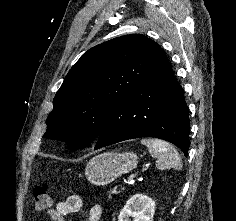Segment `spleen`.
<instances>
[{"instance_id": "1", "label": "spleen", "mask_w": 236, "mask_h": 221, "mask_svg": "<svg viewBox=\"0 0 236 221\" xmlns=\"http://www.w3.org/2000/svg\"><path fill=\"white\" fill-rule=\"evenodd\" d=\"M141 144L147 146L149 153L157 158L156 167L160 170L173 168L180 170L182 168L181 157L176 148L161 139L157 138H144Z\"/></svg>"}]
</instances>
